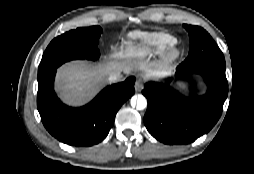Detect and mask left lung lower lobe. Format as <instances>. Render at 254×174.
<instances>
[{"mask_svg":"<svg viewBox=\"0 0 254 174\" xmlns=\"http://www.w3.org/2000/svg\"><path fill=\"white\" fill-rule=\"evenodd\" d=\"M192 74L203 77L207 93L200 97H184L169 84L149 82L142 91L148 100L144 124L149 133L164 144L194 142L208 133L222 114L228 94L225 66L215 63L186 65L181 63L175 78L189 80ZM171 78L167 82H171Z\"/></svg>","mask_w":254,"mask_h":174,"instance_id":"left-lung-lower-lobe-1","label":"left lung lower lobe"}]
</instances>
